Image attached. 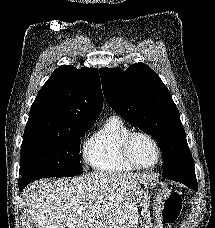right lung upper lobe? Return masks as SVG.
<instances>
[{"label": "right lung upper lobe", "instance_id": "right-lung-upper-lobe-1", "mask_svg": "<svg viewBox=\"0 0 215 228\" xmlns=\"http://www.w3.org/2000/svg\"><path fill=\"white\" fill-rule=\"evenodd\" d=\"M103 105L97 69L63 65L57 68L33 102L25 131L95 122Z\"/></svg>", "mask_w": 215, "mask_h": 228}]
</instances>
